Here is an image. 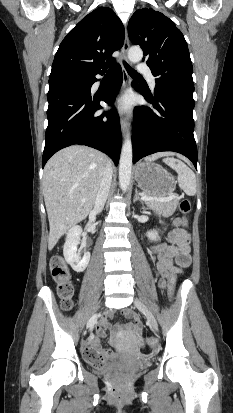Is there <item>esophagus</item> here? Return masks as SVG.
<instances>
[{"mask_svg": "<svg viewBox=\"0 0 233 413\" xmlns=\"http://www.w3.org/2000/svg\"><path fill=\"white\" fill-rule=\"evenodd\" d=\"M129 47H130V42L128 38V33H127V30H125V39H124V44L122 48L123 58L121 60L122 73H123V88L127 87L130 82V76L127 73V70L124 65V63L127 62V53H128ZM120 125H121L122 133L126 135L129 130V123H128L127 118L123 116V114L120 115Z\"/></svg>", "mask_w": 233, "mask_h": 413, "instance_id": "34e87169", "label": "esophagus"}]
</instances>
